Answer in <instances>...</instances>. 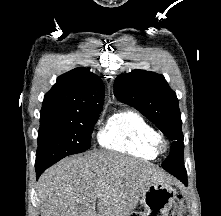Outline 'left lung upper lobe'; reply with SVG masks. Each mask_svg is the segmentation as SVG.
<instances>
[{"label":"left lung upper lobe","instance_id":"left-lung-upper-lobe-1","mask_svg":"<svg viewBox=\"0 0 221 216\" xmlns=\"http://www.w3.org/2000/svg\"><path fill=\"white\" fill-rule=\"evenodd\" d=\"M114 94L121 102L140 111L173 140L162 167L171 174L178 172L184 151L181 114L176 93L164 76L145 70L119 75L114 82Z\"/></svg>","mask_w":221,"mask_h":216}]
</instances>
